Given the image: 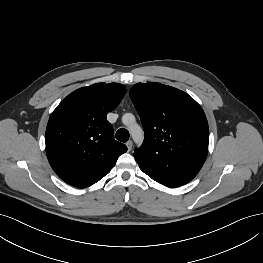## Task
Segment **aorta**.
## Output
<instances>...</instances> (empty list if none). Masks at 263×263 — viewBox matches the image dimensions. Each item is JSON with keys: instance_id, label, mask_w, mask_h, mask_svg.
Instances as JSON below:
<instances>
[{"instance_id": "obj_1", "label": "aorta", "mask_w": 263, "mask_h": 263, "mask_svg": "<svg viewBox=\"0 0 263 263\" xmlns=\"http://www.w3.org/2000/svg\"><path fill=\"white\" fill-rule=\"evenodd\" d=\"M123 123L129 127L130 134L135 142L141 143L144 137V133L141 127L135 123L134 116L132 114H125L123 116Z\"/></svg>"}]
</instances>
